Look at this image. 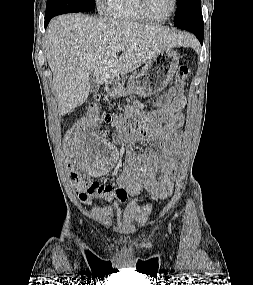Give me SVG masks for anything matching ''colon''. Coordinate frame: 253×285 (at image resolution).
I'll return each mask as SVG.
<instances>
[{
    "instance_id": "obj_1",
    "label": "colon",
    "mask_w": 253,
    "mask_h": 285,
    "mask_svg": "<svg viewBox=\"0 0 253 285\" xmlns=\"http://www.w3.org/2000/svg\"><path fill=\"white\" fill-rule=\"evenodd\" d=\"M190 68L187 65H180L176 74V89L181 90L185 81L190 76ZM116 122H110L112 125L127 126L132 122V118L128 116H118ZM99 111L97 104L90 106L89 112L83 119L82 124L88 126H95L99 122ZM77 127L73 126L72 129H67L64 137V144L66 145L65 150V161L66 167H62V172H70L69 180H74L75 191L79 199L87 204H91L96 199L100 198H116L120 201L126 199V192L124 189H114L111 186L102 185L98 182L84 181L88 179L87 172L81 171L80 164L72 155L75 151H79L80 147L77 144L78 137L76 136ZM93 141L97 140L96 136L92 137Z\"/></svg>"
}]
</instances>
